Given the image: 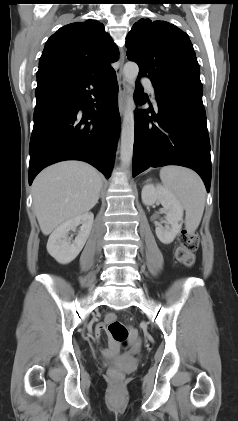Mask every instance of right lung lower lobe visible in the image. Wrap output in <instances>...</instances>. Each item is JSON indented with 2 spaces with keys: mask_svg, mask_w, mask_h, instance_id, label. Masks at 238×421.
<instances>
[{
  "mask_svg": "<svg viewBox=\"0 0 238 421\" xmlns=\"http://www.w3.org/2000/svg\"><path fill=\"white\" fill-rule=\"evenodd\" d=\"M117 96L114 70L37 79L29 185L43 168L63 160L88 162L110 177L120 131Z\"/></svg>",
  "mask_w": 238,
  "mask_h": 421,
  "instance_id": "obj_1",
  "label": "right lung lower lobe"
}]
</instances>
